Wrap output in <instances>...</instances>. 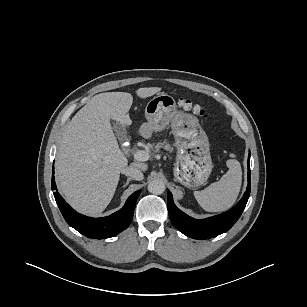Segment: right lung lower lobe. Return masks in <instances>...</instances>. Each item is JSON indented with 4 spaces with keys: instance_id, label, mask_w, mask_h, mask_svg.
<instances>
[{
    "instance_id": "98d812e1",
    "label": "right lung lower lobe",
    "mask_w": 307,
    "mask_h": 307,
    "mask_svg": "<svg viewBox=\"0 0 307 307\" xmlns=\"http://www.w3.org/2000/svg\"><path fill=\"white\" fill-rule=\"evenodd\" d=\"M54 169V168H53ZM52 190L54 197L66 222L86 237L105 239L116 236L126 229L132 221L133 213L140 190L133 193L126 201L123 208L102 218H90L73 210L56 191L54 171H52Z\"/></svg>"
}]
</instances>
